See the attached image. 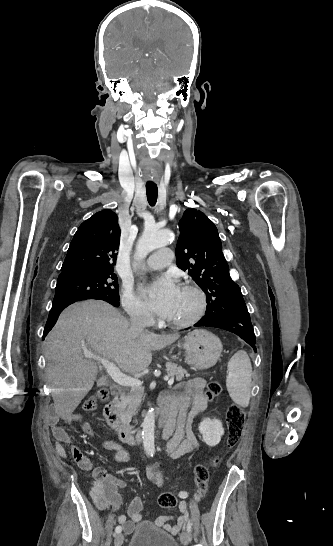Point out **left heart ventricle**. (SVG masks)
<instances>
[{
	"label": "left heart ventricle",
	"instance_id": "left-heart-ventricle-1",
	"mask_svg": "<svg viewBox=\"0 0 333 546\" xmlns=\"http://www.w3.org/2000/svg\"><path fill=\"white\" fill-rule=\"evenodd\" d=\"M196 304L195 296L181 288L168 318L176 321L187 319L194 312Z\"/></svg>",
	"mask_w": 333,
	"mask_h": 546
}]
</instances>
